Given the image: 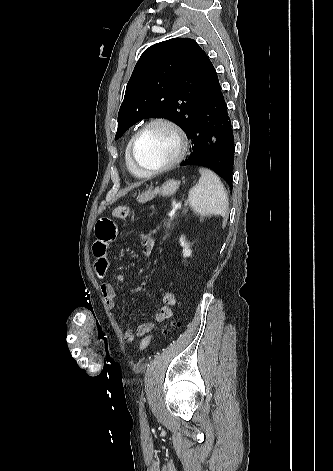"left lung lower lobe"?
<instances>
[{
	"label": "left lung lower lobe",
	"instance_id": "left-lung-lower-lobe-1",
	"mask_svg": "<svg viewBox=\"0 0 333 471\" xmlns=\"http://www.w3.org/2000/svg\"><path fill=\"white\" fill-rule=\"evenodd\" d=\"M187 135L193 143L192 152L181 166L211 168L227 182L232 191L234 138L216 72Z\"/></svg>",
	"mask_w": 333,
	"mask_h": 471
}]
</instances>
